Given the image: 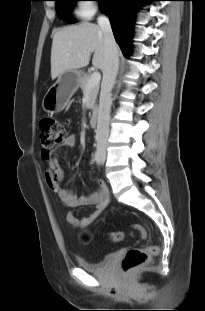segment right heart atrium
<instances>
[{"label": "right heart atrium", "mask_w": 205, "mask_h": 311, "mask_svg": "<svg viewBox=\"0 0 205 311\" xmlns=\"http://www.w3.org/2000/svg\"><path fill=\"white\" fill-rule=\"evenodd\" d=\"M97 5L91 0H81L78 4L77 14L82 18H90L97 12Z\"/></svg>", "instance_id": "obj_1"}]
</instances>
